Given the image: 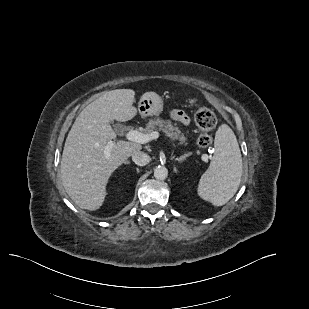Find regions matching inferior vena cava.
Instances as JSON below:
<instances>
[{
	"instance_id": "obj_1",
	"label": "inferior vena cava",
	"mask_w": 309,
	"mask_h": 309,
	"mask_svg": "<svg viewBox=\"0 0 309 309\" xmlns=\"http://www.w3.org/2000/svg\"><path fill=\"white\" fill-rule=\"evenodd\" d=\"M132 161L139 166H145L150 162V157L142 151H136L132 154Z\"/></svg>"
}]
</instances>
